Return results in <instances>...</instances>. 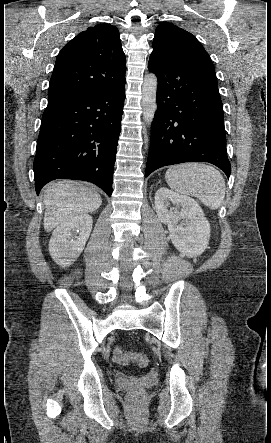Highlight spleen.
Listing matches in <instances>:
<instances>
[{
	"instance_id": "3e777b00",
	"label": "spleen",
	"mask_w": 271,
	"mask_h": 443,
	"mask_svg": "<svg viewBox=\"0 0 271 443\" xmlns=\"http://www.w3.org/2000/svg\"><path fill=\"white\" fill-rule=\"evenodd\" d=\"M171 190L177 194L194 196L210 210H217L224 202L225 182L218 170L206 164L172 166L165 174Z\"/></svg>"
}]
</instances>
